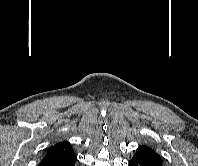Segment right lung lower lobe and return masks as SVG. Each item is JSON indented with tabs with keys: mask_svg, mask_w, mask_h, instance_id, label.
Masks as SVG:
<instances>
[{
	"mask_svg": "<svg viewBox=\"0 0 198 166\" xmlns=\"http://www.w3.org/2000/svg\"><path fill=\"white\" fill-rule=\"evenodd\" d=\"M76 160V155H71L56 160H42L39 166H75Z\"/></svg>",
	"mask_w": 198,
	"mask_h": 166,
	"instance_id": "98d812e1",
	"label": "right lung lower lobe"
}]
</instances>
